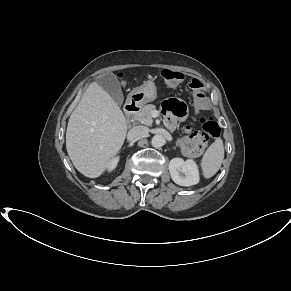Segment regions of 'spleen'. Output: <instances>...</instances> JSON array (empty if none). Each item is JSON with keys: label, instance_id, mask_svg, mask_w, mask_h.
Instances as JSON below:
<instances>
[{"label": "spleen", "instance_id": "1", "mask_svg": "<svg viewBox=\"0 0 291 291\" xmlns=\"http://www.w3.org/2000/svg\"><path fill=\"white\" fill-rule=\"evenodd\" d=\"M224 159V145L221 138L216 140L209 146L204 153L201 160V167L203 176L205 178H211L220 169Z\"/></svg>", "mask_w": 291, "mask_h": 291}]
</instances>
